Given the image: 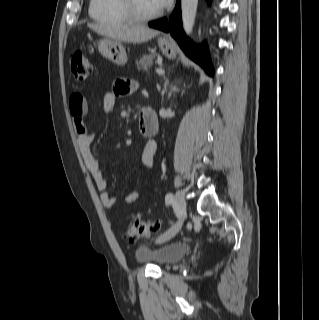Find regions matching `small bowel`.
<instances>
[{
	"instance_id": "obj_1",
	"label": "small bowel",
	"mask_w": 319,
	"mask_h": 320,
	"mask_svg": "<svg viewBox=\"0 0 319 320\" xmlns=\"http://www.w3.org/2000/svg\"><path fill=\"white\" fill-rule=\"evenodd\" d=\"M136 84L133 81L122 78L116 81L115 91L103 95L102 108L105 113H110L115 107L117 97L126 96L133 92ZM69 110L72 115L73 125L77 135V145L82 156L85 167L92 175V179L100 192V200L106 208H112L116 203V197L108 192L107 183L100 171L98 159L92 152V143L95 134L89 131L84 122L86 112V101L80 93H74L69 99ZM157 151V144L153 140H148L144 144L141 152V163L146 168H152ZM139 191L134 190L124 196L126 204H132L138 200Z\"/></svg>"
}]
</instances>
